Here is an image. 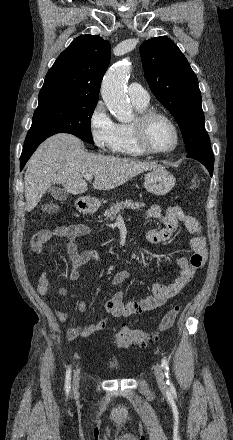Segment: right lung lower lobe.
<instances>
[{"instance_id":"98d812e1","label":"right lung lower lobe","mask_w":233,"mask_h":440,"mask_svg":"<svg viewBox=\"0 0 233 440\" xmlns=\"http://www.w3.org/2000/svg\"><path fill=\"white\" fill-rule=\"evenodd\" d=\"M53 133L47 134H32L28 133L24 143V148L20 157V170L23 169L25 163L28 161L30 156L36 150L38 145L42 143L46 138L52 136Z\"/></svg>"}]
</instances>
